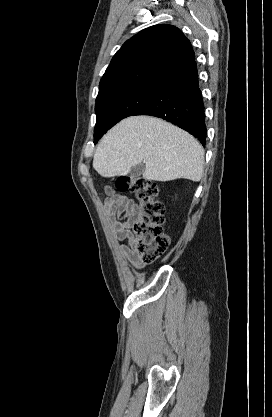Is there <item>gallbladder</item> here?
Returning <instances> with one entry per match:
<instances>
[{"instance_id":"bac80fb5","label":"gallbladder","mask_w":272,"mask_h":417,"mask_svg":"<svg viewBox=\"0 0 272 417\" xmlns=\"http://www.w3.org/2000/svg\"><path fill=\"white\" fill-rule=\"evenodd\" d=\"M144 170H145V165H144V163L141 162V163L136 164L135 166H133L131 168V170L129 172V175L132 178L138 177V176L143 174Z\"/></svg>"}]
</instances>
